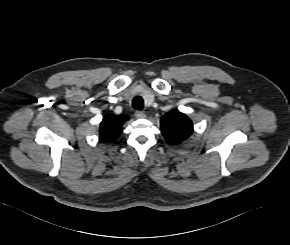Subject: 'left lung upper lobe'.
I'll use <instances>...</instances> for the list:
<instances>
[{
  "mask_svg": "<svg viewBox=\"0 0 290 245\" xmlns=\"http://www.w3.org/2000/svg\"><path fill=\"white\" fill-rule=\"evenodd\" d=\"M161 129L169 143L178 144L191 135L193 125L185 114L171 111L161 118Z\"/></svg>",
  "mask_w": 290,
  "mask_h": 245,
  "instance_id": "obj_1",
  "label": "left lung upper lobe"
}]
</instances>
